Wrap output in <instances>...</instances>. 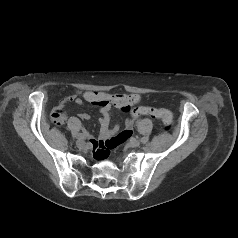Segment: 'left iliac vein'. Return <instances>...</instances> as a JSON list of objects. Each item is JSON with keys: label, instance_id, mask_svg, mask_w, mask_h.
Masks as SVG:
<instances>
[{"label": "left iliac vein", "instance_id": "1", "mask_svg": "<svg viewBox=\"0 0 238 238\" xmlns=\"http://www.w3.org/2000/svg\"><path fill=\"white\" fill-rule=\"evenodd\" d=\"M140 144L139 140L136 139V138H132L130 139L129 143H128V146L129 147H132V148H135V147H138Z\"/></svg>", "mask_w": 238, "mask_h": 238}]
</instances>
